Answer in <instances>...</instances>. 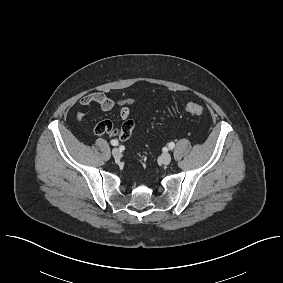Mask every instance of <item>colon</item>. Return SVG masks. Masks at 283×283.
Returning a JSON list of instances; mask_svg holds the SVG:
<instances>
[{
  "label": "colon",
  "mask_w": 283,
  "mask_h": 283,
  "mask_svg": "<svg viewBox=\"0 0 283 283\" xmlns=\"http://www.w3.org/2000/svg\"><path fill=\"white\" fill-rule=\"evenodd\" d=\"M183 109L187 113L195 116H201L204 114V108L197 103H185L183 105ZM94 132L98 135H115L117 133V128L113 127L112 123L109 121H101L95 126Z\"/></svg>",
  "instance_id": "colon-1"
}]
</instances>
